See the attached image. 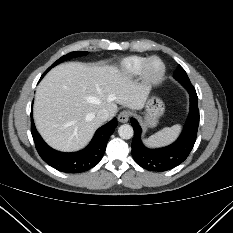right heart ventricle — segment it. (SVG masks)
Segmentation results:
<instances>
[{"label":"right heart ventricle","instance_id":"obj_1","mask_svg":"<svg viewBox=\"0 0 233 233\" xmlns=\"http://www.w3.org/2000/svg\"><path fill=\"white\" fill-rule=\"evenodd\" d=\"M146 60L147 58L142 56H130L123 59L119 65L120 76L129 79L139 75Z\"/></svg>","mask_w":233,"mask_h":233}]
</instances>
